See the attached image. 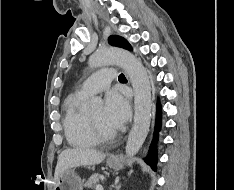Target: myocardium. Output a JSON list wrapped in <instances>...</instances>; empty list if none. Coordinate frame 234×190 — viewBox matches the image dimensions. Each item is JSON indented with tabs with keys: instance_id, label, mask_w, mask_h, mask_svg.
Returning a JSON list of instances; mask_svg holds the SVG:
<instances>
[{
	"instance_id": "obj_1",
	"label": "myocardium",
	"mask_w": 234,
	"mask_h": 190,
	"mask_svg": "<svg viewBox=\"0 0 234 190\" xmlns=\"http://www.w3.org/2000/svg\"><path fill=\"white\" fill-rule=\"evenodd\" d=\"M87 118L95 137L99 141H109L116 137V131L106 130L99 123H97L90 115H87Z\"/></svg>"
}]
</instances>
